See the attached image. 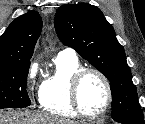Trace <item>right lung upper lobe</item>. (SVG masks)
I'll list each match as a JSON object with an SVG mask.
<instances>
[{"label": "right lung upper lobe", "instance_id": "1", "mask_svg": "<svg viewBox=\"0 0 145 124\" xmlns=\"http://www.w3.org/2000/svg\"><path fill=\"white\" fill-rule=\"evenodd\" d=\"M41 29L42 19L36 11L15 19L0 36V66L30 61Z\"/></svg>", "mask_w": 145, "mask_h": 124}]
</instances>
